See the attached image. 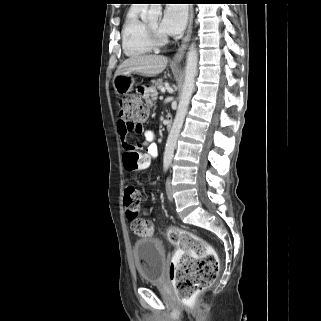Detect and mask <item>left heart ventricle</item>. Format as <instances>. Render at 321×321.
<instances>
[{"label":"left heart ventricle","instance_id":"obj_1","mask_svg":"<svg viewBox=\"0 0 321 321\" xmlns=\"http://www.w3.org/2000/svg\"><path fill=\"white\" fill-rule=\"evenodd\" d=\"M149 25H150L156 32H158L159 34L165 35V34H163V33L160 31V29H159V25H160L159 19H155V20L150 21V22H149Z\"/></svg>","mask_w":321,"mask_h":321}]
</instances>
